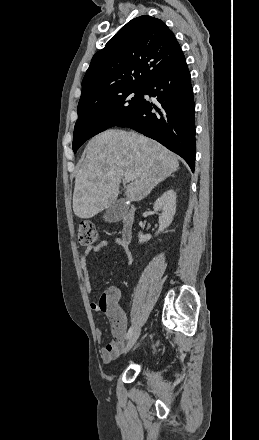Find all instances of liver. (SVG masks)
<instances>
[{
  "label": "liver",
  "instance_id": "liver-1",
  "mask_svg": "<svg viewBox=\"0 0 259 440\" xmlns=\"http://www.w3.org/2000/svg\"><path fill=\"white\" fill-rule=\"evenodd\" d=\"M75 178L73 211L87 219L112 206L126 174V199L138 202L179 168L178 157L157 141L135 132L110 129L92 138Z\"/></svg>",
  "mask_w": 259,
  "mask_h": 440
}]
</instances>
